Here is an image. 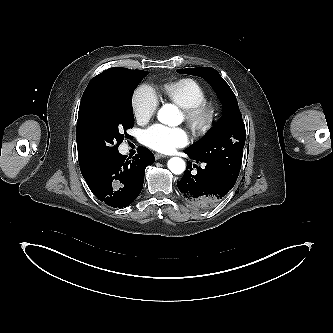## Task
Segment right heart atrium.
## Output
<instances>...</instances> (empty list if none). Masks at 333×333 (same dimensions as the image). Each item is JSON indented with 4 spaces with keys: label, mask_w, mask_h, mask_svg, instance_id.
Here are the masks:
<instances>
[{
    "label": "right heart atrium",
    "mask_w": 333,
    "mask_h": 333,
    "mask_svg": "<svg viewBox=\"0 0 333 333\" xmlns=\"http://www.w3.org/2000/svg\"><path fill=\"white\" fill-rule=\"evenodd\" d=\"M132 107L135 118L139 122H146L158 108L157 95L151 87L142 85L134 93Z\"/></svg>",
    "instance_id": "right-heart-atrium-1"
}]
</instances>
